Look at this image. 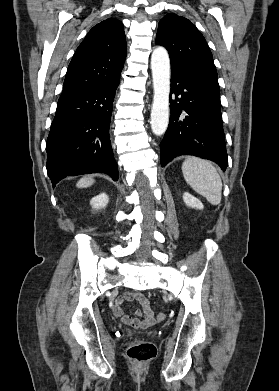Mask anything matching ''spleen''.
<instances>
[{
	"instance_id": "spleen-1",
	"label": "spleen",
	"mask_w": 279,
	"mask_h": 391,
	"mask_svg": "<svg viewBox=\"0 0 279 391\" xmlns=\"http://www.w3.org/2000/svg\"><path fill=\"white\" fill-rule=\"evenodd\" d=\"M186 182L212 205H218L222 196V180L211 162L188 157L182 164Z\"/></svg>"
}]
</instances>
